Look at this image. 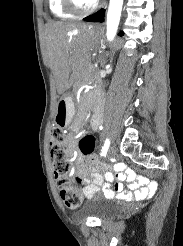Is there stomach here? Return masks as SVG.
<instances>
[{
    "label": "stomach",
    "mask_w": 183,
    "mask_h": 246,
    "mask_svg": "<svg viewBox=\"0 0 183 246\" xmlns=\"http://www.w3.org/2000/svg\"><path fill=\"white\" fill-rule=\"evenodd\" d=\"M98 33H96L95 38L97 37ZM75 106L71 96L64 95L62 96L58 103L57 109L55 114V124L59 127H67L74 115Z\"/></svg>",
    "instance_id": "stomach-1"
}]
</instances>
